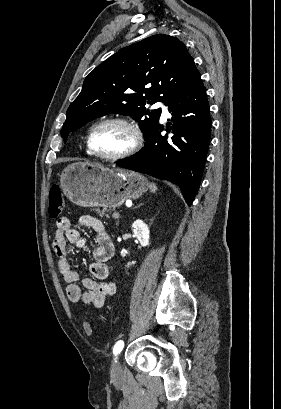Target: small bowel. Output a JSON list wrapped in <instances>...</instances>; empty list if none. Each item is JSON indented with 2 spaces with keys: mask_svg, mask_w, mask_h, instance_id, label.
Segmentation results:
<instances>
[{
  "mask_svg": "<svg viewBox=\"0 0 281 409\" xmlns=\"http://www.w3.org/2000/svg\"><path fill=\"white\" fill-rule=\"evenodd\" d=\"M79 223L81 226L92 229L95 234L94 262L89 266L93 277L80 278L79 274L72 269L67 246L72 244L83 248L85 240L72 227L71 219L66 216L57 220L53 240V247L58 257V269L67 284V296L71 302L99 308L104 305L107 298L116 292V285L110 280L108 264L114 254V245L105 225L99 219L84 215L80 217ZM79 282L82 287L79 286Z\"/></svg>",
  "mask_w": 281,
  "mask_h": 409,
  "instance_id": "1",
  "label": "small bowel"
}]
</instances>
